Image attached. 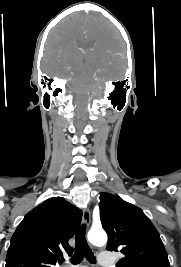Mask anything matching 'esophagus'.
Masks as SVG:
<instances>
[{"instance_id": "esophagus-1", "label": "esophagus", "mask_w": 181, "mask_h": 267, "mask_svg": "<svg viewBox=\"0 0 181 267\" xmlns=\"http://www.w3.org/2000/svg\"><path fill=\"white\" fill-rule=\"evenodd\" d=\"M90 222H91V212L89 210V208H84L83 210V223L89 227L90 225Z\"/></svg>"}]
</instances>
